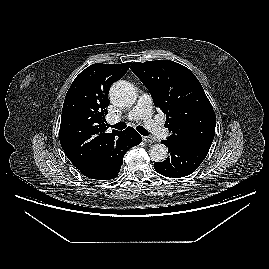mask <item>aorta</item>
I'll return each instance as SVG.
<instances>
[{
	"instance_id": "aorta-1",
	"label": "aorta",
	"mask_w": 269,
	"mask_h": 269,
	"mask_svg": "<svg viewBox=\"0 0 269 269\" xmlns=\"http://www.w3.org/2000/svg\"><path fill=\"white\" fill-rule=\"evenodd\" d=\"M110 99L113 104L119 107H127L132 105L136 100V91L134 86L127 81L115 82L110 90ZM168 148L164 144H154L149 155L155 162H162L167 158Z\"/></svg>"
}]
</instances>
